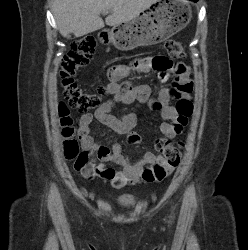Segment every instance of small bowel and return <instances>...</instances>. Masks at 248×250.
I'll return each instance as SVG.
<instances>
[{"label": "small bowel", "mask_w": 248, "mask_h": 250, "mask_svg": "<svg viewBox=\"0 0 248 250\" xmlns=\"http://www.w3.org/2000/svg\"><path fill=\"white\" fill-rule=\"evenodd\" d=\"M132 70L140 72L156 71L162 80L168 79L172 73H175L178 78L172 89L161 87L154 91L147 84L133 86L128 81H122L123 77ZM108 79L109 83L105 87V93L112 98L102 103L94 113H85L81 116L77 128V136L86 152L95 153L101 163L109 162L118 165L120 170L116 171L102 164H93L98 169L97 171L79 168L77 165H75V169L86 179H93L98 176L110 181L115 188H121L128 183L140 180L152 181L144 177L145 167L163 164L161 157H158L151 151H147L140 159L130 161L123 154L122 146L119 143L106 146L95 142L90 134V126L93 120H97L110 127L116 133L129 135V141L137 143L140 141V137L132 132L137 122L136 114L124 113L120 116H115L111 114V110L117 103L128 105L135 101L149 102L151 97L156 95L157 103L154 108L159 109L165 119L160 126L161 132L168 139L175 138L182 133L187 124L189 116L187 109L191 110L192 108L191 93L193 83L190 78V69L183 63L173 65L164 57L145 56L136 60L132 65L113 66L108 71ZM173 91L176 92L178 98L176 105L169 104ZM172 171L173 169L169 168L165 177L170 175Z\"/></svg>", "instance_id": "obj_1"}]
</instances>
